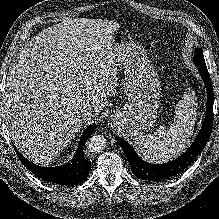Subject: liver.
<instances>
[{
  "instance_id": "obj_1",
  "label": "liver",
  "mask_w": 219,
  "mask_h": 219,
  "mask_svg": "<svg viewBox=\"0 0 219 219\" xmlns=\"http://www.w3.org/2000/svg\"><path fill=\"white\" fill-rule=\"evenodd\" d=\"M119 24L66 19L43 29L10 66L3 96L11 139L36 164L65 149L82 123L80 111L97 114L115 94L117 69L111 53Z\"/></svg>"
}]
</instances>
